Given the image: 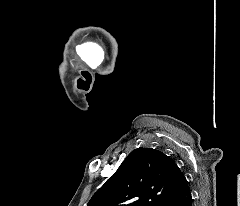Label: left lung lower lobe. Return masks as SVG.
Masks as SVG:
<instances>
[{"label": "left lung lower lobe", "instance_id": "obj_1", "mask_svg": "<svg viewBox=\"0 0 240 206\" xmlns=\"http://www.w3.org/2000/svg\"><path fill=\"white\" fill-rule=\"evenodd\" d=\"M192 203L193 199L189 182L180 170L177 184L167 198L164 206H192Z\"/></svg>", "mask_w": 240, "mask_h": 206}]
</instances>
